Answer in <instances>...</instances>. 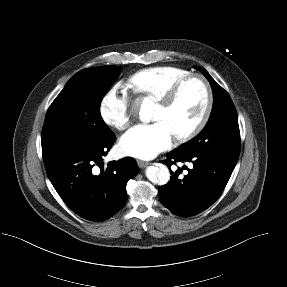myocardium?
<instances>
[{
  "instance_id": "f54148a6",
  "label": "myocardium",
  "mask_w": 287,
  "mask_h": 287,
  "mask_svg": "<svg viewBox=\"0 0 287 287\" xmlns=\"http://www.w3.org/2000/svg\"><path fill=\"white\" fill-rule=\"evenodd\" d=\"M191 80H199L202 83L206 91V97H207L206 106L201 118L193 128H191L184 134L175 136V140L180 143L188 142L193 138H195L205 128L206 124L208 123L214 106V94L210 83L201 74L196 73L188 74L185 77L178 80L167 91V93L157 101V105H159L161 108L170 109L175 104L183 87Z\"/></svg>"
}]
</instances>
